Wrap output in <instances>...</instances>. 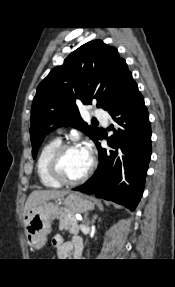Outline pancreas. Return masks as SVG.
<instances>
[{
    "mask_svg": "<svg viewBox=\"0 0 175 287\" xmlns=\"http://www.w3.org/2000/svg\"><path fill=\"white\" fill-rule=\"evenodd\" d=\"M59 230H68L70 234H78L79 227L75 216L68 210H61L59 216Z\"/></svg>",
    "mask_w": 175,
    "mask_h": 287,
    "instance_id": "pancreas-1",
    "label": "pancreas"
}]
</instances>
